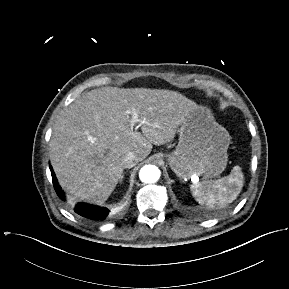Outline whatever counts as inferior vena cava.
Listing matches in <instances>:
<instances>
[{
	"label": "inferior vena cava",
	"mask_w": 289,
	"mask_h": 289,
	"mask_svg": "<svg viewBox=\"0 0 289 289\" xmlns=\"http://www.w3.org/2000/svg\"><path fill=\"white\" fill-rule=\"evenodd\" d=\"M139 162V158L132 152L126 154L123 160L124 168H132Z\"/></svg>",
	"instance_id": "obj_1"
}]
</instances>
